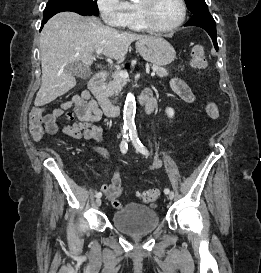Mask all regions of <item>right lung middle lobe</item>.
I'll return each instance as SVG.
<instances>
[{"label": "right lung middle lobe", "instance_id": "1", "mask_svg": "<svg viewBox=\"0 0 261 273\" xmlns=\"http://www.w3.org/2000/svg\"><path fill=\"white\" fill-rule=\"evenodd\" d=\"M77 1L86 7L90 15H99L97 0H49L43 16L52 17L53 15L62 11H74L71 8Z\"/></svg>", "mask_w": 261, "mask_h": 273}]
</instances>
